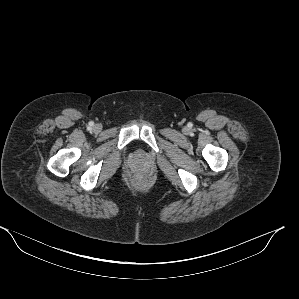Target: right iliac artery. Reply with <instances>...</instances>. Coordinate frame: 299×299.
<instances>
[{"label":"right iliac artery","instance_id":"obj_1","mask_svg":"<svg viewBox=\"0 0 299 299\" xmlns=\"http://www.w3.org/2000/svg\"><path fill=\"white\" fill-rule=\"evenodd\" d=\"M90 127L93 126V123H89Z\"/></svg>","mask_w":299,"mask_h":299}]
</instances>
